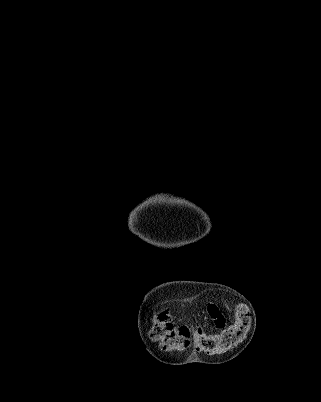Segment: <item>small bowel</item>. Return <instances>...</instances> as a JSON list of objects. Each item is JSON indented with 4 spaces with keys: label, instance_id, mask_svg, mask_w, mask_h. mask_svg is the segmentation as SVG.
<instances>
[{
    "label": "small bowel",
    "instance_id": "obj_1",
    "mask_svg": "<svg viewBox=\"0 0 321 402\" xmlns=\"http://www.w3.org/2000/svg\"><path fill=\"white\" fill-rule=\"evenodd\" d=\"M207 313L211 317L214 322L216 328L222 329L226 325V318L220 311L219 307L215 303H208L207 304Z\"/></svg>",
    "mask_w": 321,
    "mask_h": 402
}]
</instances>
